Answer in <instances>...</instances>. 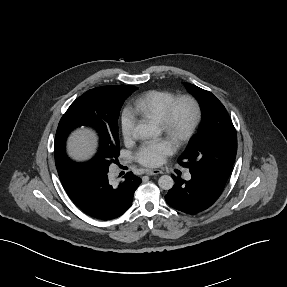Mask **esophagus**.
<instances>
[{"instance_id":"obj_1","label":"esophagus","mask_w":287,"mask_h":287,"mask_svg":"<svg viewBox=\"0 0 287 287\" xmlns=\"http://www.w3.org/2000/svg\"><path fill=\"white\" fill-rule=\"evenodd\" d=\"M163 172L161 170H145V174L147 175H158V174H162Z\"/></svg>"}]
</instances>
